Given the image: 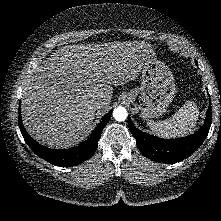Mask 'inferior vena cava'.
I'll use <instances>...</instances> for the list:
<instances>
[{"instance_id": "inferior-vena-cava-1", "label": "inferior vena cava", "mask_w": 221, "mask_h": 221, "mask_svg": "<svg viewBox=\"0 0 221 221\" xmlns=\"http://www.w3.org/2000/svg\"><path fill=\"white\" fill-rule=\"evenodd\" d=\"M105 105V102L103 100H97L93 103V106L95 109H101Z\"/></svg>"}]
</instances>
